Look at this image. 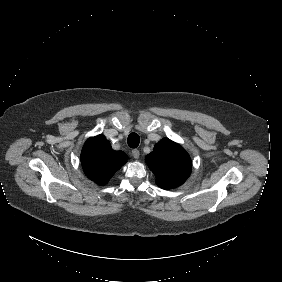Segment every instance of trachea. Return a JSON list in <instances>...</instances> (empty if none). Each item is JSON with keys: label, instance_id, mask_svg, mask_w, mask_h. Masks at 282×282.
I'll return each instance as SVG.
<instances>
[{"label": "trachea", "instance_id": "3493384b", "mask_svg": "<svg viewBox=\"0 0 282 282\" xmlns=\"http://www.w3.org/2000/svg\"><path fill=\"white\" fill-rule=\"evenodd\" d=\"M127 142L130 148H137L140 142L139 135L137 133H130Z\"/></svg>", "mask_w": 282, "mask_h": 282}]
</instances>
